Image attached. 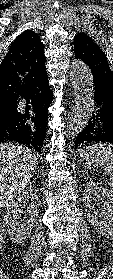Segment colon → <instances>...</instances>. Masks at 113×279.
Returning <instances> with one entry per match:
<instances>
[{
	"instance_id": "5ec220e1",
	"label": "colon",
	"mask_w": 113,
	"mask_h": 279,
	"mask_svg": "<svg viewBox=\"0 0 113 279\" xmlns=\"http://www.w3.org/2000/svg\"><path fill=\"white\" fill-rule=\"evenodd\" d=\"M1 239H2V232H1V230H0V241H1Z\"/></svg>"
}]
</instances>
